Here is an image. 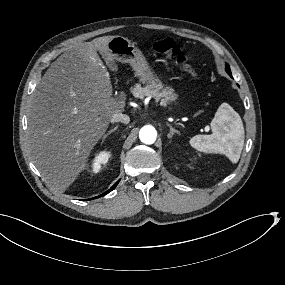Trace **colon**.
Returning <instances> with one entry per match:
<instances>
[{
    "label": "colon",
    "mask_w": 285,
    "mask_h": 285,
    "mask_svg": "<svg viewBox=\"0 0 285 285\" xmlns=\"http://www.w3.org/2000/svg\"><path fill=\"white\" fill-rule=\"evenodd\" d=\"M151 49L159 54H162L178 65L185 72L190 75L196 76L197 71L193 66H191L185 55L178 48L176 42L171 38H164L160 40H155L150 43Z\"/></svg>",
    "instance_id": "colon-1"
}]
</instances>
